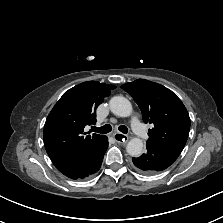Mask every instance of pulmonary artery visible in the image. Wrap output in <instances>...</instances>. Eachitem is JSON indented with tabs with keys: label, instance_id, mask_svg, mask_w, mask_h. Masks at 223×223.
Returning <instances> with one entry per match:
<instances>
[{
	"label": "pulmonary artery",
	"instance_id": "pulmonary-artery-1",
	"mask_svg": "<svg viewBox=\"0 0 223 223\" xmlns=\"http://www.w3.org/2000/svg\"><path fill=\"white\" fill-rule=\"evenodd\" d=\"M131 127H132L134 133L138 137H140V138H145L146 137V132H145L142 124L140 123V121L136 117L132 118Z\"/></svg>",
	"mask_w": 223,
	"mask_h": 223
}]
</instances>
